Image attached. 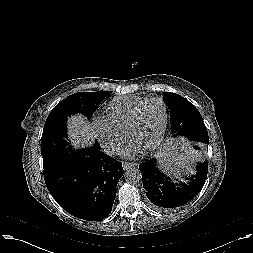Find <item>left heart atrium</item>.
I'll return each mask as SVG.
<instances>
[{"mask_svg":"<svg viewBox=\"0 0 253 253\" xmlns=\"http://www.w3.org/2000/svg\"><path fill=\"white\" fill-rule=\"evenodd\" d=\"M142 151V147H140L138 144L134 142H130L123 150L122 154L125 157H133L136 156L138 153Z\"/></svg>","mask_w":253,"mask_h":253,"instance_id":"39dd6f15","label":"left heart atrium"}]
</instances>
